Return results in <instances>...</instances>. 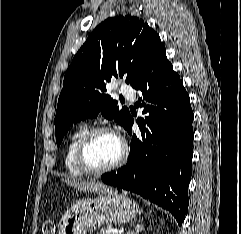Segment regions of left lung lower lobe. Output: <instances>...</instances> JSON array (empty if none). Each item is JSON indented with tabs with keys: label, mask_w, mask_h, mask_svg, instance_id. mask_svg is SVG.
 I'll return each instance as SVG.
<instances>
[{
	"label": "left lung lower lobe",
	"mask_w": 241,
	"mask_h": 234,
	"mask_svg": "<svg viewBox=\"0 0 241 234\" xmlns=\"http://www.w3.org/2000/svg\"><path fill=\"white\" fill-rule=\"evenodd\" d=\"M141 91L137 106L145 119H137L141 136L132 137L128 163L106 173L101 180L132 191L169 210L182 224L187 213L192 175L193 112L180 76L162 48L132 85ZM130 115L125 129L132 134Z\"/></svg>",
	"instance_id": "left-lung-lower-lobe-1"
}]
</instances>
